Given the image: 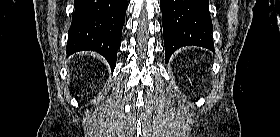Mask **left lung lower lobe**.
Instances as JSON below:
<instances>
[{"label":"left lung lower lobe","instance_id":"0a47b994","mask_svg":"<svg viewBox=\"0 0 280 137\" xmlns=\"http://www.w3.org/2000/svg\"><path fill=\"white\" fill-rule=\"evenodd\" d=\"M160 6L166 62L183 46L214 50L209 0H160Z\"/></svg>","mask_w":280,"mask_h":137}]
</instances>
